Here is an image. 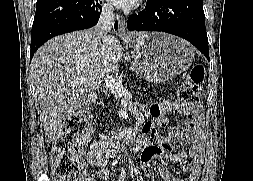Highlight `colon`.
I'll return each mask as SVG.
<instances>
[{
  "mask_svg": "<svg viewBox=\"0 0 253 181\" xmlns=\"http://www.w3.org/2000/svg\"><path fill=\"white\" fill-rule=\"evenodd\" d=\"M204 75V66L196 63L178 94L177 115L180 119L191 120L192 126L196 123L193 105L197 101ZM90 131L89 124L81 115L72 116L63 124L51 150L55 181H86L83 148Z\"/></svg>",
  "mask_w": 253,
  "mask_h": 181,
  "instance_id": "1",
  "label": "colon"
}]
</instances>
